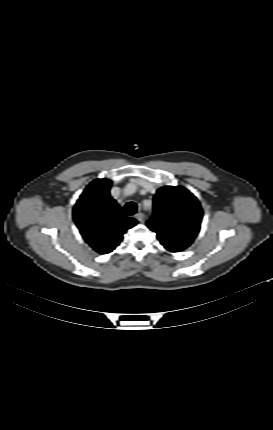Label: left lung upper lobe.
Returning a JSON list of instances; mask_svg holds the SVG:
<instances>
[{"instance_id": "1", "label": "left lung upper lobe", "mask_w": 273, "mask_h": 430, "mask_svg": "<svg viewBox=\"0 0 273 430\" xmlns=\"http://www.w3.org/2000/svg\"><path fill=\"white\" fill-rule=\"evenodd\" d=\"M202 209L197 198L183 187L165 186L154 195L153 216L146 223L170 252L186 249L197 236Z\"/></svg>"}]
</instances>
